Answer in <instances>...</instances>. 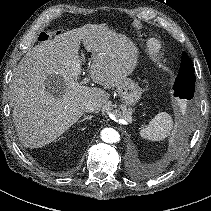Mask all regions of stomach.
<instances>
[{
    "label": "stomach",
    "instance_id": "stomach-1",
    "mask_svg": "<svg viewBox=\"0 0 211 211\" xmlns=\"http://www.w3.org/2000/svg\"><path fill=\"white\" fill-rule=\"evenodd\" d=\"M117 93L125 105L133 106L139 101L142 90L136 82L125 78L118 84Z\"/></svg>",
    "mask_w": 211,
    "mask_h": 211
}]
</instances>
